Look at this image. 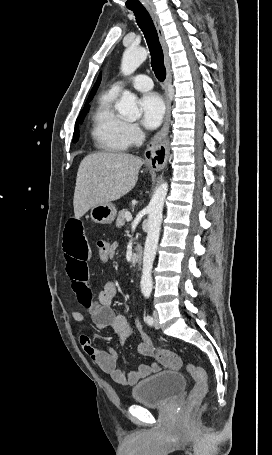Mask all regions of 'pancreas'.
Wrapping results in <instances>:
<instances>
[{"label":"pancreas","instance_id":"obj_1","mask_svg":"<svg viewBox=\"0 0 272 455\" xmlns=\"http://www.w3.org/2000/svg\"><path fill=\"white\" fill-rule=\"evenodd\" d=\"M126 213H127V210H125V209L121 210L118 213L117 220H116V226L118 228H121V227H123L125 225Z\"/></svg>","mask_w":272,"mask_h":455}]
</instances>
